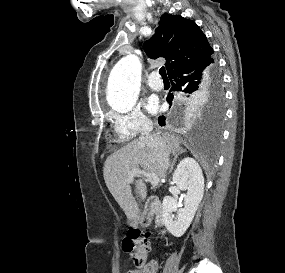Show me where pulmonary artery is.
Wrapping results in <instances>:
<instances>
[{"label":"pulmonary artery","instance_id":"e3ab8cb5","mask_svg":"<svg viewBox=\"0 0 285 273\" xmlns=\"http://www.w3.org/2000/svg\"><path fill=\"white\" fill-rule=\"evenodd\" d=\"M147 85L150 89L154 91H160L163 89V82L159 78V73L157 71H153L147 80Z\"/></svg>","mask_w":285,"mask_h":273}]
</instances>
